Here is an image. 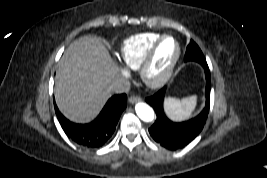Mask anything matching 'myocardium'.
<instances>
[{
	"label": "myocardium",
	"mask_w": 267,
	"mask_h": 178,
	"mask_svg": "<svg viewBox=\"0 0 267 178\" xmlns=\"http://www.w3.org/2000/svg\"><path fill=\"white\" fill-rule=\"evenodd\" d=\"M166 39H172L177 47V51L176 54L173 58V60L171 61L170 65L167 67V69L165 70V72L162 74L161 77L157 78V79H151L148 75V70L149 67L155 57V54L159 48V46L162 44L163 41H165ZM181 54H182V48L180 45V42L172 35H162L152 46L151 48L148 50L147 54L145 55V57L143 58L142 62L140 63L139 66V75L140 78L142 80V82L149 88L151 89H159L161 87H163L172 77L179 61L181 58Z\"/></svg>",
	"instance_id": "1"
}]
</instances>
